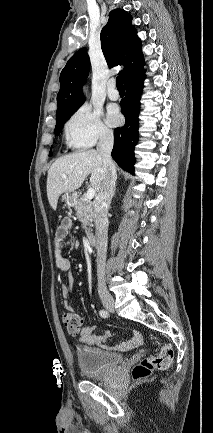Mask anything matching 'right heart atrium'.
Here are the masks:
<instances>
[{
  "label": "right heart atrium",
  "mask_w": 213,
  "mask_h": 433,
  "mask_svg": "<svg viewBox=\"0 0 213 433\" xmlns=\"http://www.w3.org/2000/svg\"><path fill=\"white\" fill-rule=\"evenodd\" d=\"M64 131L69 145L75 149L89 148L113 137L100 111L90 105L79 107L65 123Z\"/></svg>",
  "instance_id": "1"
}]
</instances>
